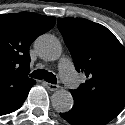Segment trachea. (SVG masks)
<instances>
[{
  "instance_id": "1",
  "label": "trachea",
  "mask_w": 125,
  "mask_h": 125,
  "mask_svg": "<svg viewBox=\"0 0 125 125\" xmlns=\"http://www.w3.org/2000/svg\"><path fill=\"white\" fill-rule=\"evenodd\" d=\"M30 77L35 79H44L45 81L52 84L57 83L56 76L53 73L48 72L47 70L37 69L30 74Z\"/></svg>"
}]
</instances>
